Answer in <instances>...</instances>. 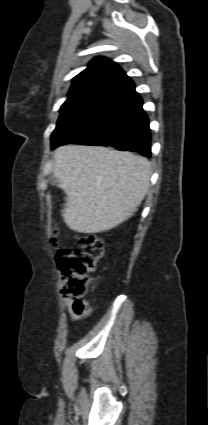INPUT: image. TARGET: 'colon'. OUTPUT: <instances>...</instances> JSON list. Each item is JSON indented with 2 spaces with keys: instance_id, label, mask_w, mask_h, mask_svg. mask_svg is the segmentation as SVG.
<instances>
[{
  "instance_id": "colon-1",
  "label": "colon",
  "mask_w": 208,
  "mask_h": 425,
  "mask_svg": "<svg viewBox=\"0 0 208 425\" xmlns=\"http://www.w3.org/2000/svg\"><path fill=\"white\" fill-rule=\"evenodd\" d=\"M53 247H58L57 233L51 239ZM104 254L103 240L95 234H83L77 239V249H59L56 255L58 269L62 277V294L74 300L79 307L87 306L85 300L89 276L96 269Z\"/></svg>"
}]
</instances>
